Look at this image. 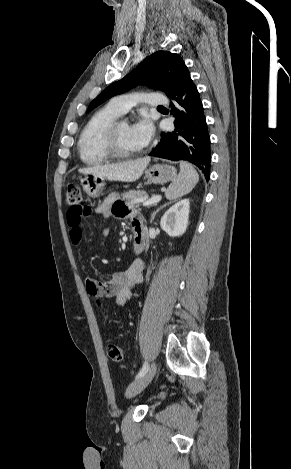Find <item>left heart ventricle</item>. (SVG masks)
Returning <instances> with one entry per match:
<instances>
[{"label":"left heart ventricle","mask_w":291,"mask_h":469,"mask_svg":"<svg viewBox=\"0 0 291 469\" xmlns=\"http://www.w3.org/2000/svg\"><path fill=\"white\" fill-rule=\"evenodd\" d=\"M118 142L120 147L126 151H134L142 148L134 139L131 126L127 122L121 123L118 128Z\"/></svg>","instance_id":"b2bd125f"}]
</instances>
